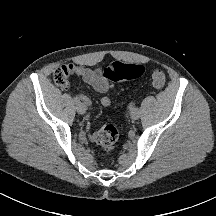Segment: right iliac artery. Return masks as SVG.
I'll list each match as a JSON object with an SVG mask.
<instances>
[{
    "mask_svg": "<svg viewBox=\"0 0 216 216\" xmlns=\"http://www.w3.org/2000/svg\"><path fill=\"white\" fill-rule=\"evenodd\" d=\"M74 102H75L76 104H78V103L80 102V99H79L78 97H74Z\"/></svg>",
    "mask_w": 216,
    "mask_h": 216,
    "instance_id": "1",
    "label": "right iliac artery"
}]
</instances>
